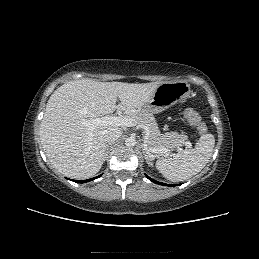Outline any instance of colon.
I'll use <instances>...</instances> for the list:
<instances>
[{"label":"colon","mask_w":259,"mask_h":259,"mask_svg":"<svg viewBox=\"0 0 259 259\" xmlns=\"http://www.w3.org/2000/svg\"><path fill=\"white\" fill-rule=\"evenodd\" d=\"M185 117L190 122V124L196 128L198 132L205 133L207 131L204 122L201 120V117L193 109H187L185 111Z\"/></svg>","instance_id":"1"}]
</instances>
